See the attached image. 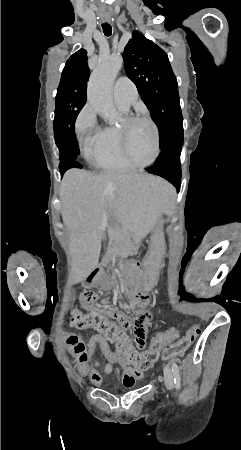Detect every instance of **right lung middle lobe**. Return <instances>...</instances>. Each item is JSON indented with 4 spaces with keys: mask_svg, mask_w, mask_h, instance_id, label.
Wrapping results in <instances>:
<instances>
[{
    "mask_svg": "<svg viewBox=\"0 0 241 450\" xmlns=\"http://www.w3.org/2000/svg\"><path fill=\"white\" fill-rule=\"evenodd\" d=\"M88 80H74L61 82L56 95L54 133L55 140L60 150L59 170L63 175L66 170L73 166L70 160L77 158L69 157L66 154L68 143L67 130L72 121H74L80 110L86 103V90Z\"/></svg>",
    "mask_w": 241,
    "mask_h": 450,
    "instance_id": "right-lung-middle-lobe-1",
    "label": "right lung middle lobe"
}]
</instances>
